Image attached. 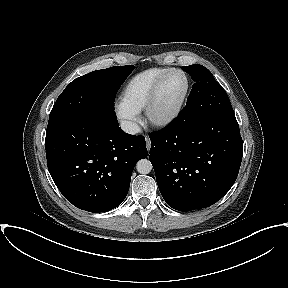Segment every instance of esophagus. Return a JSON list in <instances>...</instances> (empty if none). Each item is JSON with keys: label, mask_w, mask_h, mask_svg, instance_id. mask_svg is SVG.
Returning <instances> with one entry per match:
<instances>
[{"label": "esophagus", "mask_w": 288, "mask_h": 288, "mask_svg": "<svg viewBox=\"0 0 288 288\" xmlns=\"http://www.w3.org/2000/svg\"><path fill=\"white\" fill-rule=\"evenodd\" d=\"M146 147H147L148 150L151 147V142H150V139L148 138V136H146Z\"/></svg>", "instance_id": "1"}]
</instances>
